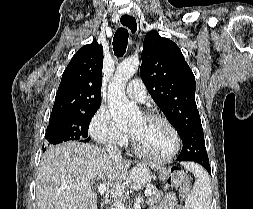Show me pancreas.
Segmentation results:
<instances>
[{
	"mask_svg": "<svg viewBox=\"0 0 253 209\" xmlns=\"http://www.w3.org/2000/svg\"><path fill=\"white\" fill-rule=\"evenodd\" d=\"M162 195L163 193L160 190H157L156 188H152L151 194L149 195L147 199V204L149 206H153L154 204L159 203Z\"/></svg>",
	"mask_w": 253,
	"mask_h": 209,
	"instance_id": "cf45deb5",
	"label": "pancreas"
}]
</instances>
